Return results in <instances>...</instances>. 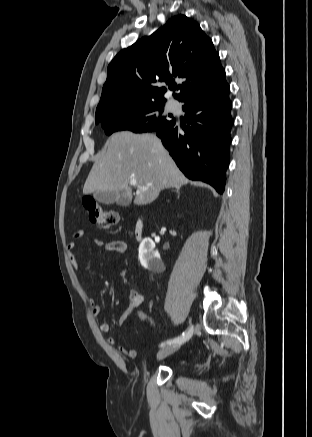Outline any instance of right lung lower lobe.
I'll return each instance as SVG.
<instances>
[{"instance_id":"1","label":"right lung lower lobe","mask_w":312,"mask_h":437,"mask_svg":"<svg viewBox=\"0 0 312 437\" xmlns=\"http://www.w3.org/2000/svg\"><path fill=\"white\" fill-rule=\"evenodd\" d=\"M225 73L209 86L182 102L187 126L174 121L156 131L180 170L191 180H201L224 191L225 171L229 165L230 115L232 103ZM184 133H180V130Z\"/></svg>"}]
</instances>
